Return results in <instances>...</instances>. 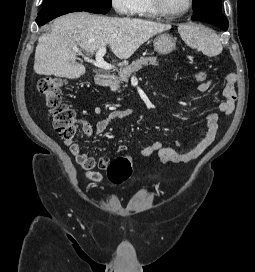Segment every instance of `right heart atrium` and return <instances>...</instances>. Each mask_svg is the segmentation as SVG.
<instances>
[{
    "instance_id": "right-heart-atrium-1",
    "label": "right heart atrium",
    "mask_w": 255,
    "mask_h": 272,
    "mask_svg": "<svg viewBox=\"0 0 255 272\" xmlns=\"http://www.w3.org/2000/svg\"><path fill=\"white\" fill-rule=\"evenodd\" d=\"M111 5L119 15H133L136 12L137 0H111Z\"/></svg>"
}]
</instances>
